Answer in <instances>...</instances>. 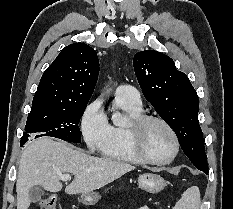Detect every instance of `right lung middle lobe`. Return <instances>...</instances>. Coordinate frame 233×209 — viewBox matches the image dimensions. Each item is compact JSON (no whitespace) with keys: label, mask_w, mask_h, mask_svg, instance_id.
<instances>
[{"label":"right lung middle lobe","mask_w":233,"mask_h":209,"mask_svg":"<svg viewBox=\"0 0 233 209\" xmlns=\"http://www.w3.org/2000/svg\"><path fill=\"white\" fill-rule=\"evenodd\" d=\"M86 104H80L67 109L31 108L26 122V132L23 133L20 145L23 146L33 137L31 133L45 132L40 136L56 137L65 141L80 143L79 122Z\"/></svg>","instance_id":"right-lung-middle-lobe-1"}]
</instances>
